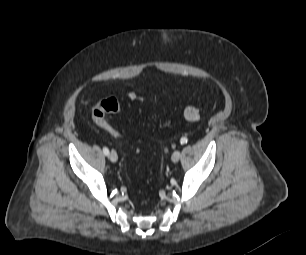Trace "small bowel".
Listing matches in <instances>:
<instances>
[{"instance_id":"1","label":"small bowel","mask_w":306,"mask_h":255,"mask_svg":"<svg viewBox=\"0 0 306 255\" xmlns=\"http://www.w3.org/2000/svg\"><path fill=\"white\" fill-rule=\"evenodd\" d=\"M127 97L132 100V101H143L145 100V96L138 94L134 91H128L127 92Z\"/></svg>"}]
</instances>
